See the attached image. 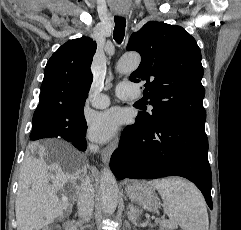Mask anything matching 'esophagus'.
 Segmentation results:
<instances>
[{
	"mask_svg": "<svg viewBox=\"0 0 241 230\" xmlns=\"http://www.w3.org/2000/svg\"><path fill=\"white\" fill-rule=\"evenodd\" d=\"M120 16H124V14H120ZM118 143V137H116L108 146H106L101 154V158L102 161L107 164L111 154L113 153V151L115 150L116 146Z\"/></svg>",
	"mask_w": 241,
	"mask_h": 230,
	"instance_id": "34e87169",
	"label": "esophagus"
}]
</instances>
